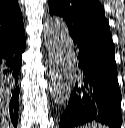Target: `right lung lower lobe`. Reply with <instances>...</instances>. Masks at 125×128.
<instances>
[{"mask_svg":"<svg viewBox=\"0 0 125 128\" xmlns=\"http://www.w3.org/2000/svg\"><path fill=\"white\" fill-rule=\"evenodd\" d=\"M24 28L0 39V84L9 95V113L13 126L17 127L19 109V71L21 56L25 51Z\"/></svg>","mask_w":125,"mask_h":128,"instance_id":"obj_1","label":"right lung lower lobe"}]
</instances>
